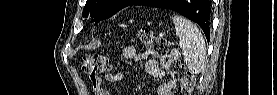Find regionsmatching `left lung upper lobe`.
<instances>
[{
  "mask_svg": "<svg viewBox=\"0 0 277 95\" xmlns=\"http://www.w3.org/2000/svg\"><path fill=\"white\" fill-rule=\"evenodd\" d=\"M136 0H87L82 15L94 21H101L113 16L121 9L132 5ZM177 0H159L158 8H167Z\"/></svg>",
  "mask_w": 277,
  "mask_h": 95,
  "instance_id": "5c2ea615",
  "label": "left lung upper lobe"
}]
</instances>
